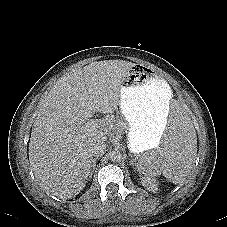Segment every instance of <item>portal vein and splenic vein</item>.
Wrapping results in <instances>:
<instances>
[{"mask_svg": "<svg viewBox=\"0 0 227 227\" xmlns=\"http://www.w3.org/2000/svg\"><path fill=\"white\" fill-rule=\"evenodd\" d=\"M97 124L94 120H89L87 121L82 127L81 129L85 130V131H93L95 130Z\"/></svg>", "mask_w": 227, "mask_h": 227, "instance_id": "18ae733b", "label": "portal vein and splenic vein"}]
</instances>
